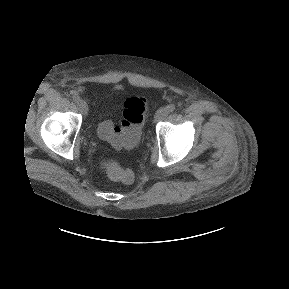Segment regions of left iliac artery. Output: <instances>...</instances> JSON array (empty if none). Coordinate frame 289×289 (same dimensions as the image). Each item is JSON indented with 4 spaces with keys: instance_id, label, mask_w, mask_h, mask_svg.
Masks as SVG:
<instances>
[{
    "instance_id": "1",
    "label": "left iliac artery",
    "mask_w": 289,
    "mask_h": 289,
    "mask_svg": "<svg viewBox=\"0 0 289 289\" xmlns=\"http://www.w3.org/2000/svg\"><path fill=\"white\" fill-rule=\"evenodd\" d=\"M167 110H168V112H173L175 110V105L174 104H169L167 106Z\"/></svg>"
}]
</instances>
